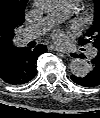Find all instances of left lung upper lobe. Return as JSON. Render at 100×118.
Listing matches in <instances>:
<instances>
[{
  "label": "left lung upper lobe",
  "instance_id": "obj_1",
  "mask_svg": "<svg viewBox=\"0 0 100 118\" xmlns=\"http://www.w3.org/2000/svg\"><path fill=\"white\" fill-rule=\"evenodd\" d=\"M95 2V19L93 26L85 33V37L79 40L81 45L92 43L95 48L100 49V0Z\"/></svg>",
  "mask_w": 100,
  "mask_h": 118
}]
</instances>
